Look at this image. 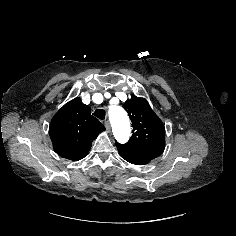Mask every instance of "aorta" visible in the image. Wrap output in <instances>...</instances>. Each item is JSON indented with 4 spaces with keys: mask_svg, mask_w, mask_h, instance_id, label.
I'll use <instances>...</instances> for the list:
<instances>
[{
    "mask_svg": "<svg viewBox=\"0 0 236 236\" xmlns=\"http://www.w3.org/2000/svg\"><path fill=\"white\" fill-rule=\"evenodd\" d=\"M109 119L116 139L125 143L130 136V122L125 110L120 106L109 108Z\"/></svg>",
    "mask_w": 236,
    "mask_h": 236,
    "instance_id": "obj_1",
    "label": "aorta"
}]
</instances>
